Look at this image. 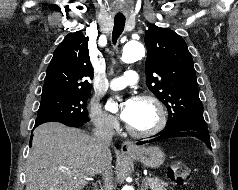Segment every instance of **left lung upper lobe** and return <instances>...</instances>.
<instances>
[{
  "label": "left lung upper lobe",
  "mask_w": 238,
  "mask_h": 190,
  "mask_svg": "<svg viewBox=\"0 0 238 190\" xmlns=\"http://www.w3.org/2000/svg\"><path fill=\"white\" fill-rule=\"evenodd\" d=\"M148 88L167 107L166 125L184 118H203L193 59L184 39L169 28L151 25L145 32Z\"/></svg>",
  "instance_id": "obj_1"
}]
</instances>
